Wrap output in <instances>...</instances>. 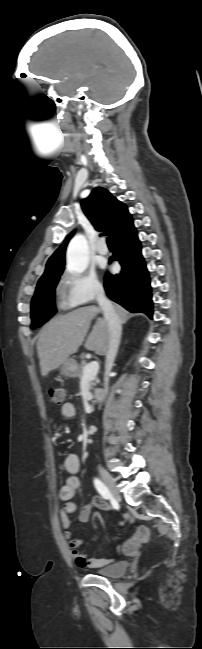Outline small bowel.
Returning <instances> with one entry per match:
<instances>
[{
	"label": "small bowel",
	"mask_w": 202,
	"mask_h": 649,
	"mask_svg": "<svg viewBox=\"0 0 202 649\" xmlns=\"http://www.w3.org/2000/svg\"><path fill=\"white\" fill-rule=\"evenodd\" d=\"M61 415L64 419H72L76 415V408L73 403L65 402L61 407ZM64 469L69 474L66 478L64 485L60 488L59 498L64 502L60 511V521L62 527L65 529V538L68 541V548L70 555L76 565L81 568H101L113 562V559L106 558H91L82 554L79 547L83 541L74 537L72 531L69 529L71 526L70 514L77 510V506L71 501L77 491L80 489L81 482L77 474L80 472V460L76 455H70L64 460ZM107 504L101 497H93L90 503L84 506L78 514V522L86 523L93 511L105 510ZM127 520L125 517L119 525H123Z\"/></svg>",
	"instance_id": "small-bowel-1"
}]
</instances>
